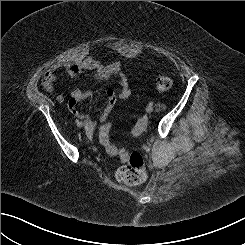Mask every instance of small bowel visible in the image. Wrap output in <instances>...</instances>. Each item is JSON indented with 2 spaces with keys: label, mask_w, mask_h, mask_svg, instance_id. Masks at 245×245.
Instances as JSON below:
<instances>
[{
  "label": "small bowel",
  "mask_w": 245,
  "mask_h": 245,
  "mask_svg": "<svg viewBox=\"0 0 245 245\" xmlns=\"http://www.w3.org/2000/svg\"><path fill=\"white\" fill-rule=\"evenodd\" d=\"M60 71H64L69 76H78L84 72L89 73L94 79L108 84L112 77H119V91L117 92L113 88H108L106 92L107 102L99 116V121L105 122L111 112L113 111L118 99L125 100L130 94V88L126 77L122 73L121 65L119 62L114 61L109 64H101L91 57H86L81 60L72 62H59L52 65L42 77V85L44 89L53 94L55 100L58 103H63L65 97L61 93H55L54 82ZM93 99V93L91 91H82L80 89H74L70 92V98L68 100L69 111L76 117L84 120L86 128L90 131L96 126V121L77 109V103L82 101H91Z\"/></svg>",
  "instance_id": "c3829d8e"
}]
</instances>
